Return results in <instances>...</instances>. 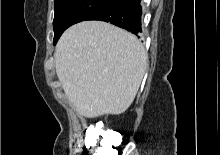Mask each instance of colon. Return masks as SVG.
I'll return each mask as SVG.
<instances>
[{
	"instance_id": "1",
	"label": "colon",
	"mask_w": 220,
	"mask_h": 155,
	"mask_svg": "<svg viewBox=\"0 0 220 155\" xmlns=\"http://www.w3.org/2000/svg\"><path fill=\"white\" fill-rule=\"evenodd\" d=\"M89 138L93 139L95 143H89V146L85 147V150L88 151L86 155H114L115 146L110 134L92 131Z\"/></svg>"
}]
</instances>
